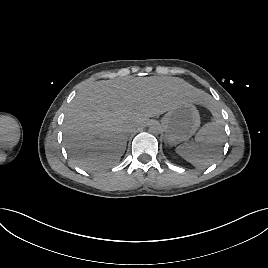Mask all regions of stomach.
Instances as JSON below:
<instances>
[{"label": "stomach", "mask_w": 268, "mask_h": 268, "mask_svg": "<svg viewBox=\"0 0 268 268\" xmlns=\"http://www.w3.org/2000/svg\"><path fill=\"white\" fill-rule=\"evenodd\" d=\"M162 124L168 140L181 142L195 134L200 126V115L193 103L187 102L169 110Z\"/></svg>", "instance_id": "1"}]
</instances>
